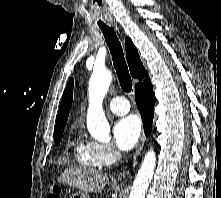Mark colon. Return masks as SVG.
Returning <instances> with one entry per match:
<instances>
[{
    "instance_id": "colon-1",
    "label": "colon",
    "mask_w": 221,
    "mask_h": 198,
    "mask_svg": "<svg viewBox=\"0 0 221 198\" xmlns=\"http://www.w3.org/2000/svg\"><path fill=\"white\" fill-rule=\"evenodd\" d=\"M47 198H62L61 193L58 190H54Z\"/></svg>"
}]
</instances>
